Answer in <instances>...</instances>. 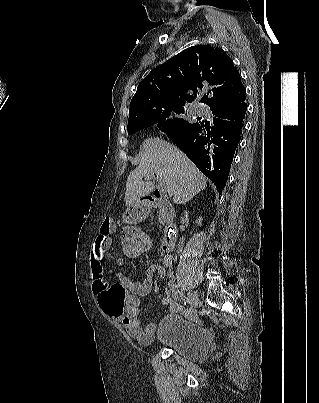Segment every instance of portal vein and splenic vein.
Segmentation results:
<instances>
[{"mask_svg":"<svg viewBox=\"0 0 319 403\" xmlns=\"http://www.w3.org/2000/svg\"><path fill=\"white\" fill-rule=\"evenodd\" d=\"M150 177L148 176L147 179H149ZM158 188L160 189L161 192H166L167 191V187L165 186L164 182H162L160 180Z\"/></svg>","mask_w":319,"mask_h":403,"instance_id":"portal-vein-and-splenic-vein-1","label":"portal vein and splenic vein"}]
</instances>
